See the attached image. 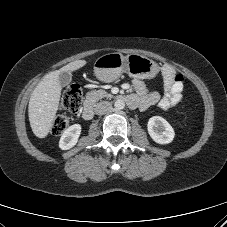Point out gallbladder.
<instances>
[{
  "label": "gallbladder",
  "mask_w": 227,
  "mask_h": 227,
  "mask_svg": "<svg viewBox=\"0 0 227 227\" xmlns=\"http://www.w3.org/2000/svg\"><path fill=\"white\" fill-rule=\"evenodd\" d=\"M72 80V74L69 71H63L59 74V82L62 86H67Z\"/></svg>",
  "instance_id": "gallbladder-1"
}]
</instances>
